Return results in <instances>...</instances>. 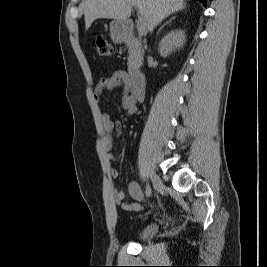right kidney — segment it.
Masks as SVG:
<instances>
[{
  "label": "right kidney",
  "mask_w": 267,
  "mask_h": 267,
  "mask_svg": "<svg viewBox=\"0 0 267 267\" xmlns=\"http://www.w3.org/2000/svg\"><path fill=\"white\" fill-rule=\"evenodd\" d=\"M185 43V31L175 29L168 32L160 41L158 51L162 57L169 56L176 49H180Z\"/></svg>",
  "instance_id": "obj_1"
}]
</instances>
